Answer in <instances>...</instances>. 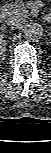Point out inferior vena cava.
Returning <instances> with one entry per match:
<instances>
[{
  "label": "inferior vena cava",
  "instance_id": "1",
  "mask_svg": "<svg viewBox=\"0 0 51 153\" xmlns=\"http://www.w3.org/2000/svg\"><path fill=\"white\" fill-rule=\"evenodd\" d=\"M26 20L20 16H11L6 20V24L11 28H20L25 24Z\"/></svg>",
  "mask_w": 51,
  "mask_h": 153
}]
</instances>
